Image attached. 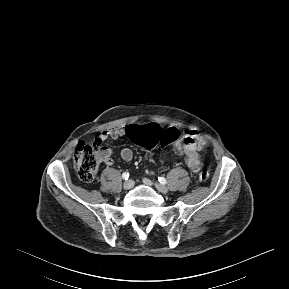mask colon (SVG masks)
Segmentation results:
<instances>
[{"instance_id": "colon-1", "label": "colon", "mask_w": 289, "mask_h": 289, "mask_svg": "<svg viewBox=\"0 0 289 289\" xmlns=\"http://www.w3.org/2000/svg\"><path fill=\"white\" fill-rule=\"evenodd\" d=\"M127 134L135 144L146 150H151L158 145L166 147L182 138L177 129H162L157 124L142 127L131 125L127 127ZM73 161L79 178L84 182H91L96 176L101 161V148L81 142L74 151ZM208 178L207 171L199 173L201 182H206Z\"/></svg>"}]
</instances>
